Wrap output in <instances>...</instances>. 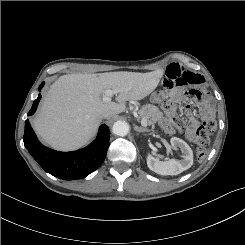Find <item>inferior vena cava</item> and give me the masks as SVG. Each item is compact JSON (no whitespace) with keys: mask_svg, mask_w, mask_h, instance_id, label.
<instances>
[{"mask_svg":"<svg viewBox=\"0 0 245 245\" xmlns=\"http://www.w3.org/2000/svg\"><path fill=\"white\" fill-rule=\"evenodd\" d=\"M109 117H110V115L108 113L101 115V118H109Z\"/></svg>","mask_w":245,"mask_h":245,"instance_id":"obj_1","label":"inferior vena cava"}]
</instances>
